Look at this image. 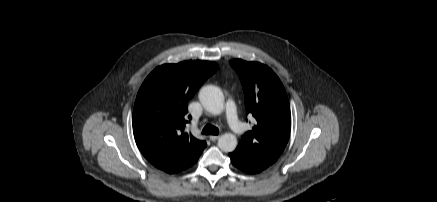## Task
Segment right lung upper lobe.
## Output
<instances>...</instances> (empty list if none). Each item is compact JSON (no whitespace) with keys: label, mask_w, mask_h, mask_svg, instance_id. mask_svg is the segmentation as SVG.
Wrapping results in <instances>:
<instances>
[{"label":"right lung upper lobe","mask_w":437,"mask_h":202,"mask_svg":"<svg viewBox=\"0 0 437 202\" xmlns=\"http://www.w3.org/2000/svg\"><path fill=\"white\" fill-rule=\"evenodd\" d=\"M209 61H184L155 68L141 85L133 110V133L144 157L173 174L193 163L206 147L185 131L188 101L216 71Z\"/></svg>","instance_id":"cb5924a9"}]
</instances>
